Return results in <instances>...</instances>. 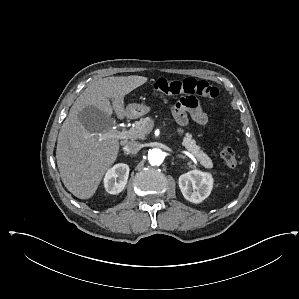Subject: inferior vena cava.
I'll use <instances>...</instances> for the list:
<instances>
[{
  "mask_svg": "<svg viewBox=\"0 0 299 299\" xmlns=\"http://www.w3.org/2000/svg\"><path fill=\"white\" fill-rule=\"evenodd\" d=\"M124 149L128 153L136 154L141 149V146L139 143H137L135 141H130L125 145Z\"/></svg>",
  "mask_w": 299,
  "mask_h": 299,
  "instance_id": "obj_1",
  "label": "inferior vena cava"
}]
</instances>
